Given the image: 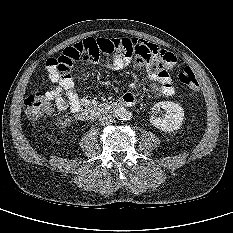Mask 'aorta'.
<instances>
[{
  "label": "aorta",
  "instance_id": "762f6f07",
  "mask_svg": "<svg viewBox=\"0 0 233 233\" xmlns=\"http://www.w3.org/2000/svg\"><path fill=\"white\" fill-rule=\"evenodd\" d=\"M114 116L117 119L123 120V121H127V120H130L132 118L131 112L125 108H117L114 111Z\"/></svg>",
  "mask_w": 233,
  "mask_h": 233
}]
</instances>
